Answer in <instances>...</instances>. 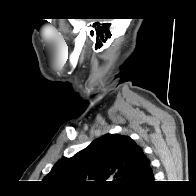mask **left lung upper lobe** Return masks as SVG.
<instances>
[{
	"label": "left lung upper lobe",
	"instance_id": "5c2ea615",
	"mask_svg": "<svg viewBox=\"0 0 196 196\" xmlns=\"http://www.w3.org/2000/svg\"><path fill=\"white\" fill-rule=\"evenodd\" d=\"M149 166L150 160L129 136L106 134L73 157L59 160L44 179L56 187L132 190Z\"/></svg>",
	"mask_w": 196,
	"mask_h": 196
}]
</instances>
